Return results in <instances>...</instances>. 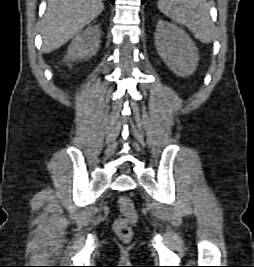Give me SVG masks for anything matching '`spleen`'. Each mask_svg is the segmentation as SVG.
I'll return each instance as SVG.
<instances>
[{
    "mask_svg": "<svg viewBox=\"0 0 254 267\" xmlns=\"http://www.w3.org/2000/svg\"><path fill=\"white\" fill-rule=\"evenodd\" d=\"M158 8L176 23L185 25L200 42L208 44L214 39L206 0H158Z\"/></svg>",
    "mask_w": 254,
    "mask_h": 267,
    "instance_id": "obj_1",
    "label": "spleen"
}]
</instances>
